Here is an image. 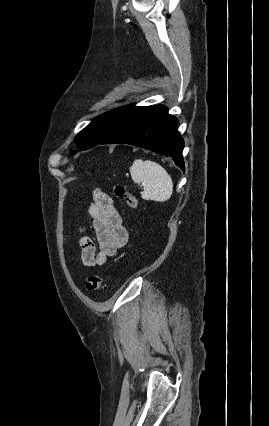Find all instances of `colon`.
Masks as SVG:
<instances>
[{
    "label": "colon",
    "instance_id": "5ec220e1",
    "mask_svg": "<svg viewBox=\"0 0 269 426\" xmlns=\"http://www.w3.org/2000/svg\"><path fill=\"white\" fill-rule=\"evenodd\" d=\"M114 194L115 196L123 200L127 208L134 210L137 207V199L135 195L129 192L124 186L119 184L115 185ZM105 287H106V282L103 279V277L99 275H90L86 279V288L90 292L100 291L104 289Z\"/></svg>",
    "mask_w": 269,
    "mask_h": 426
}]
</instances>
